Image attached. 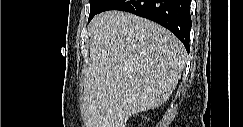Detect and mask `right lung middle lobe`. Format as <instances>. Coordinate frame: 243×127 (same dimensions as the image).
<instances>
[{"label":"right lung middle lobe","mask_w":243,"mask_h":127,"mask_svg":"<svg viewBox=\"0 0 243 127\" xmlns=\"http://www.w3.org/2000/svg\"><path fill=\"white\" fill-rule=\"evenodd\" d=\"M90 1V14L88 22L97 14L99 9L102 7V5L106 2V0H89Z\"/></svg>","instance_id":"obj_1"}]
</instances>
